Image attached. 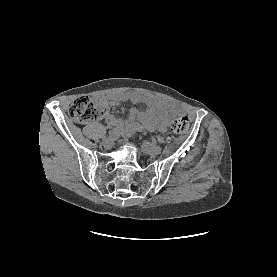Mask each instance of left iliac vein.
Returning <instances> with one entry per match:
<instances>
[{
    "mask_svg": "<svg viewBox=\"0 0 277 277\" xmlns=\"http://www.w3.org/2000/svg\"><path fill=\"white\" fill-rule=\"evenodd\" d=\"M142 147L144 152L150 156H157L161 153V147L147 141L143 142Z\"/></svg>",
    "mask_w": 277,
    "mask_h": 277,
    "instance_id": "obj_1",
    "label": "left iliac vein"
}]
</instances>
